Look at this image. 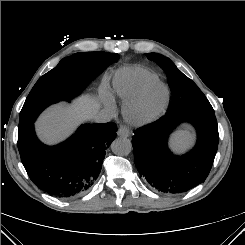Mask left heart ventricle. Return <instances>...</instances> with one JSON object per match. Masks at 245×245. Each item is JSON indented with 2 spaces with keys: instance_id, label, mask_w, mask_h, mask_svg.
Masks as SVG:
<instances>
[{
  "instance_id": "b2bd125f",
  "label": "left heart ventricle",
  "mask_w": 245,
  "mask_h": 245,
  "mask_svg": "<svg viewBox=\"0 0 245 245\" xmlns=\"http://www.w3.org/2000/svg\"><path fill=\"white\" fill-rule=\"evenodd\" d=\"M163 96L164 90L161 86L155 85L151 87L146 94L145 100L140 107L139 112L145 114L153 111L160 105Z\"/></svg>"
}]
</instances>
